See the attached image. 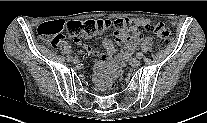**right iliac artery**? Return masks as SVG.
Masks as SVG:
<instances>
[{"mask_svg": "<svg viewBox=\"0 0 207 123\" xmlns=\"http://www.w3.org/2000/svg\"><path fill=\"white\" fill-rule=\"evenodd\" d=\"M72 59H73V57H72L71 55H68V56H67V60H68V61H71Z\"/></svg>", "mask_w": 207, "mask_h": 123, "instance_id": "right-iliac-artery-1", "label": "right iliac artery"}]
</instances>
